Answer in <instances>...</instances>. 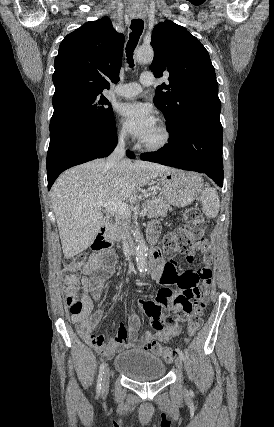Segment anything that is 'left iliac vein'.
<instances>
[{
	"label": "left iliac vein",
	"instance_id": "left-iliac-vein-1",
	"mask_svg": "<svg viewBox=\"0 0 274 427\" xmlns=\"http://www.w3.org/2000/svg\"><path fill=\"white\" fill-rule=\"evenodd\" d=\"M175 367H176V370H177L178 372H181V371H182L183 363H182V359L180 358V356H179V357H177V358H176V360H175Z\"/></svg>",
	"mask_w": 274,
	"mask_h": 427
}]
</instances>
